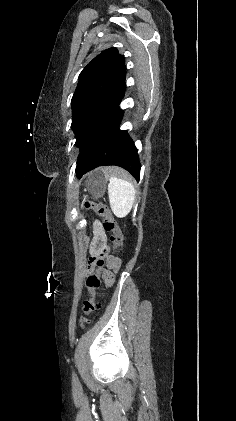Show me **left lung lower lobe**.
I'll list each match as a JSON object with an SVG mask.
<instances>
[{
	"label": "left lung lower lobe",
	"instance_id": "left-lung-lower-lobe-1",
	"mask_svg": "<svg viewBox=\"0 0 236 421\" xmlns=\"http://www.w3.org/2000/svg\"><path fill=\"white\" fill-rule=\"evenodd\" d=\"M123 96L124 93L103 113L91 130L77 161L78 178L96 167L117 165L139 180L137 148L127 131L119 129L123 111L118 106Z\"/></svg>",
	"mask_w": 236,
	"mask_h": 421
}]
</instances>
